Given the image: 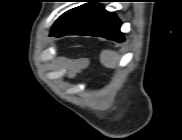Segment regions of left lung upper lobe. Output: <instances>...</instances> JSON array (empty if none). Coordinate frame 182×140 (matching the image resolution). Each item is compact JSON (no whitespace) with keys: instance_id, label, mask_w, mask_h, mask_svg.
<instances>
[{"instance_id":"1","label":"left lung upper lobe","mask_w":182,"mask_h":140,"mask_svg":"<svg viewBox=\"0 0 182 140\" xmlns=\"http://www.w3.org/2000/svg\"><path fill=\"white\" fill-rule=\"evenodd\" d=\"M89 2L61 15L54 23L50 35L56 37L63 36L68 30L101 7V4L97 3L98 1L90 0Z\"/></svg>"}]
</instances>
